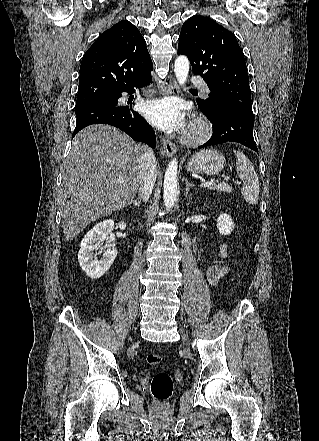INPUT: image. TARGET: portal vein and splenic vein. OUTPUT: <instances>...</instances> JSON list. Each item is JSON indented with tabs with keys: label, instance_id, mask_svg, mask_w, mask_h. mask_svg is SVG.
<instances>
[{
	"label": "portal vein and splenic vein",
	"instance_id": "obj_1",
	"mask_svg": "<svg viewBox=\"0 0 319 441\" xmlns=\"http://www.w3.org/2000/svg\"><path fill=\"white\" fill-rule=\"evenodd\" d=\"M118 181L121 182V183H123V182H124V179H123V178H119ZM212 184H213V181L211 180V181H209V182H204V183L200 184V187H209V186H211ZM236 184H240V182L237 181Z\"/></svg>",
	"mask_w": 319,
	"mask_h": 441
}]
</instances>
